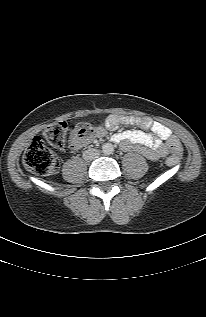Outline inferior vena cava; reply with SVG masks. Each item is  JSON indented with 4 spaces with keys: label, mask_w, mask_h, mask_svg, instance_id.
<instances>
[{
    "label": "inferior vena cava",
    "mask_w": 206,
    "mask_h": 317,
    "mask_svg": "<svg viewBox=\"0 0 206 317\" xmlns=\"http://www.w3.org/2000/svg\"><path fill=\"white\" fill-rule=\"evenodd\" d=\"M100 152L99 150L95 149V148H90L86 151L83 152V158L85 160H94L99 156Z\"/></svg>",
    "instance_id": "1"
}]
</instances>
